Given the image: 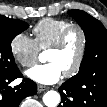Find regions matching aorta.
<instances>
[{
    "instance_id": "aorta-1",
    "label": "aorta",
    "mask_w": 107,
    "mask_h": 107,
    "mask_svg": "<svg viewBox=\"0 0 107 107\" xmlns=\"http://www.w3.org/2000/svg\"><path fill=\"white\" fill-rule=\"evenodd\" d=\"M43 55H40V59ZM43 102L47 107H57L60 103V94L56 91H48L43 96Z\"/></svg>"
}]
</instances>
